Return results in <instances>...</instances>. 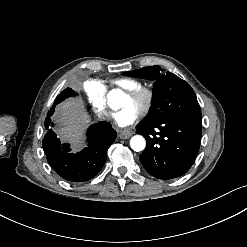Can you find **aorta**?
Masks as SVG:
<instances>
[{
	"label": "aorta",
	"mask_w": 247,
	"mask_h": 247,
	"mask_svg": "<svg viewBox=\"0 0 247 247\" xmlns=\"http://www.w3.org/2000/svg\"><path fill=\"white\" fill-rule=\"evenodd\" d=\"M118 99H119L118 91L112 90L111 92H109L108 94L109 105H116ZM130 146L134 151L140 152L145 149L146 141L143 136L135 135L130 140Z\"/></svg>",
	"instance_id": "762f6f07"
}]
</instances>
